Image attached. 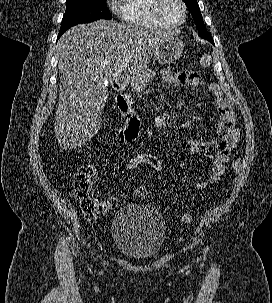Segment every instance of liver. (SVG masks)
Masks as SVG:
<instances>
[{
    "mask_svg": "<svg viewBox=\"0 0 272 303\" xmlns=\"http://www.w3.org/2000/svg\"><path fill=\"white\" fill-rule=\"evenodd\" d=\"M171 33L99 20L66 31L58 41L60 91L54 131L65 149L79 148L100 129L105 82L130 65L142 72ZM128 59L125 65L124 60Z\"/></svg>",
    "mask_w": 272,
    "mask_h": 303,
    "instance_id": "liver-1",
    "label": "liver"
}]
</instances>
